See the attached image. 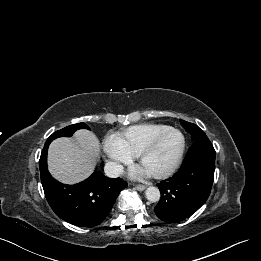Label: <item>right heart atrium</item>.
<instances>
[{"label": "right heart atrium", "instance_id": "obj_1", "mask_svg": "<svg viewBox=\"0 0 261 261\" xmlns=\"http://www.w3.org/2000/svg\"><path fill=\"white\" fill-rule=\"evenodd\" d=\"M103 149L116 171L131 163L132 157L123 149L117 139L112 136L104 141Z\"/></svg>", "mask_w": 261, "mask_h": 261}]
</instances>
